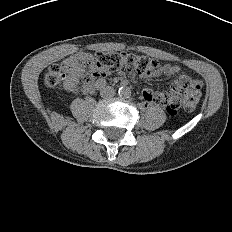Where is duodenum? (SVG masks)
Listing matches in <instances>:
<instances>
[{
  "mask_svg": "<svg viewBox=\"0 0 232 232\" xmlns=\"http://www.w3.org/2000/svg\"><path fill=\"white\" fill-rule=\"evenodd\" d=\"M104 86H105V84H103V83L97 81L94 85H91V86L89 87V91H90V92H93V91L95 90V88H101V87H104Z\"/></svg>",
  "mask_w": 232,
  "mask_h": 232,
  "instance_id": "1",
  "label": "duodenum"
}]
</instances>
